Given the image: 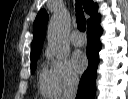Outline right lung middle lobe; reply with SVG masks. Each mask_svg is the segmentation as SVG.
Listing matches in <instances>:
<instances>
[{"instance_id": "dd1d6c3e", "label": "right lung middle lobe", "mask_w": 128, "mask_h": 99, "mask_svg": "<svg viewBox=\"0 0 128 99\" xmlns=\"http://www.w3.org/2000/svg\"><path fill=\"white\" fill-rule=\"evenodd\" d=\"M38 57L39 55L31 57V74L35 72Z\"/></svg>"}]
</instances>
